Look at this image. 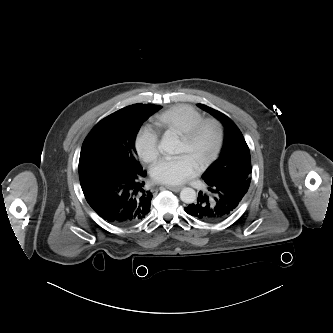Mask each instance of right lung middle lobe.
Returning <instances> with one entry per match:
<instances>
[{
	"label": "right lung middle lobe",
	"mask_w": 333,
	"mask_h": 333,
	"mask_svg": "<svg viewBox=\"0 0 333 333\" xmlns=\"http://www.w3.org/2000/svg\"><path fill=\"white\" fill-rule=\"evenodd\" d=\"M161 106L134 104L102 119L86 137L79 159V172L102 169L119 174L140 173L135 137L150 115Z\"/></svg>",
	"instance_id": "obj_1"
}]
</instances>
